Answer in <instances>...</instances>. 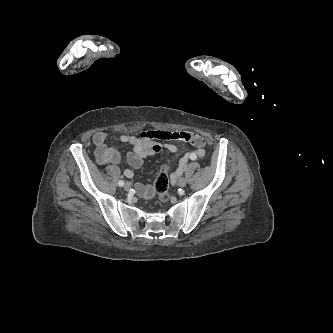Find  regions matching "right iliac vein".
Returning a JSON list of instances; mask_svg holds the SVG:
<instances>
[{
    "mask_svg": "<svg viewBox=\"0 0 333 333\" xmlns=\"http://www.w3.org/2000/svg\"><path fill=\"white\" fill-rule=\"evenodd\" d=\"M131 186H132L131 183H130V182H127V183H125V185H124V189L128 191V190L131 188Z\"/></svg>",
    "mask_w": 333,
    "mask_h": 333,
    "instance_id": "obj_1",
    "label": "right iliac vein"
}]
</instances>
